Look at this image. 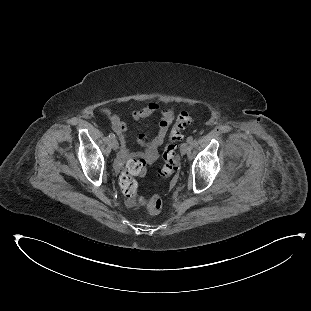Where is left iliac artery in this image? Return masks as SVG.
<instances>
[{"mask_svg": "<svg viewBox=\"0 0 311 311\" xmlns=\"http://www.w3.org/2000/svg\"><path fill=\"white\" fill-rule=\"evenodd\" d=\"M193 141V137L192 136H189L188 138H187V142L188 143H191Z\"/></svg>", "mask_w": 311, "mask_h": 311, "instance_id": "obj_1", "label": "left iliac artery"}]
</instances>
